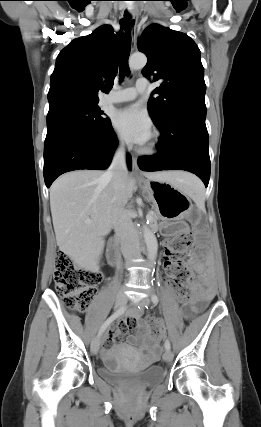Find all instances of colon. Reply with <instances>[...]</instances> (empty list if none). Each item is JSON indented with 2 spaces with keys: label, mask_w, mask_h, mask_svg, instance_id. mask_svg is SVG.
<instances>
[{
  "label": "colon",
  "mask_w": 261,
  "mask_h": 427,
  "mask_svg": "<svg viewBox=\"0 0 261 427\" xmlns=\"http://www.w3.org/2000/svg\"><path fill=\"white\" fill-rule=\"evenodd\" d=\"M189 244V234L183 232L173 237L165 248L168 274L166 282L175 290L178 300L183 304L190 298L189 288L192 280L190 269L183 263ZM101 278L99 271L79 266L65 252L57 253L54 282L56 291L67 308L80 312L87 310L95 297L96 286ZM142 330L147 331L150 337L160 336L156 323H143Z\"/></svg>",
  "instance_id": "colon-1"
}]
</instances>
